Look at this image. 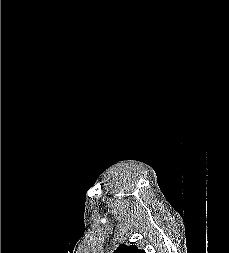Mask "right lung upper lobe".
<instances>
[{
    "label": "right lung upper lobe",
    "instance_id": "right-lung-upper-lobe-1",
    "mask_svg": "<svg viewBox=\"0 0 229 253\" xmlns=\"http://www.w3.org/2000/svg\"><path fill=\"white\" fill-rule=\"evenodd\" d=\"M114 253H145L144 250H139L136 246H127L121 244L118 249Z\"/></svg>",
    "mask_w": 229,
    "mask_h": 253
}]
</instances>
